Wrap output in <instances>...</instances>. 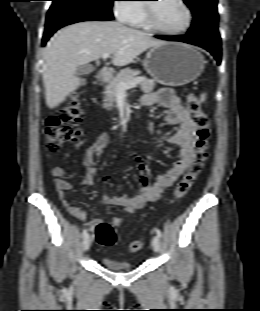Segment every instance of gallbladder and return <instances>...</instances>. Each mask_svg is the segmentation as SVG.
<instances>
[{
  "instance_id": "bac80fb5",
  "label": "gallbladder",
  "mask_w": 260,
  "mask_h": 311,
  "mask_svg": "<svg viewBox=\"0 0 260 311\" xmlns=\"http://www.w3.org/2000/svg\"><path fill=\"white\" fill-rule=\"evenodd\" d=\"M92 71H93V67L92 66H90L88 64H84V65L79 66L76 69V74L77 75H86V74H89Z\"/></svg>"
}]
</instances>
